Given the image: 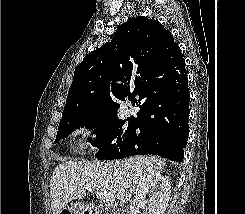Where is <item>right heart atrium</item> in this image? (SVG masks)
Returning <instances> with one entry per match:
<instances>
[{"mask_svg": "<svg viewBox=\"0 0 245 214\" xmlns=\"http://www.w3.org/2000/svg\"><path fill=\"white\" fill-rule=\"evenodd\" d=\"M73 137L78 148L90 147L96 137V127L89 122L82 123L73 131Z\"/></svg>", "mask_w": 245, "mask_h": 214, "instance_id": "d8ad5b80", "label": "right heart atrium"}]
</instances>
